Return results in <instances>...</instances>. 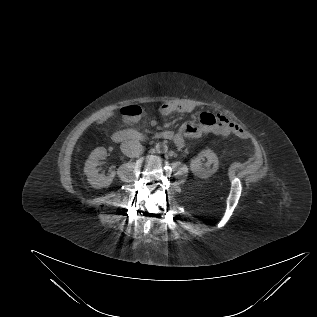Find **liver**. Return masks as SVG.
I'll list each match as a JSON object with an SVG mask.
<instances>
[{"instance_id": "6515ba94", "label": "liver", "mask_w": 317, "mask_h": 317, "mask_svg": "<svg viewBox=\"0 0 317 317\" xmlns=\"http://www.w3.org/2000/svg\"><path fill=\"white\" fill-rule=\"evenodd\" d=\"M113 110H114L113 106L105 107L101 109L100 111L96 112L93 115V118L95 121H97L98 124H101L113 115Z\"/></svg>"}]
</instances>
